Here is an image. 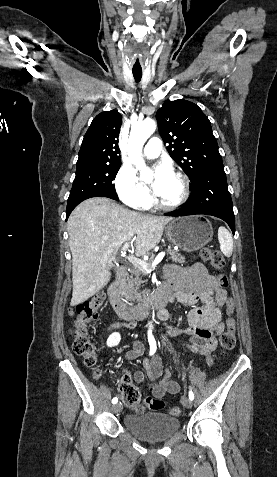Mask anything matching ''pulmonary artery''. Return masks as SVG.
<instances>
[{
	"label": "pulmonary artery",
	"mask_w": 277,
	"mask_h": 477,
	"mask_svg": "<svg viewBox=\"0 0 277 477\" xmlns=\"http://www.w3.org/2000/svg\"><path fill=\"white\" fill-rule=\"evenodd\" d=\"M162 150V142L158 137L149 139L144 147L143 154L147 158H156Z\"/></svg>",
	"instance_id": "obj_1"
}]
</instances>
